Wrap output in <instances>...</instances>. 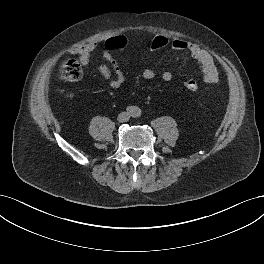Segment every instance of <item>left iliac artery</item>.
I'll use <instances>...</instances> for the list:
<instances>
[{"label": "left iliac artery", "mask_w": 264, "mask_h": 264, "mask_svg": "<svg viewBox=\"0 0 264 264\" xmlns=\"http://www.w3.org/2000/svg\"><path fill=\"white\" fill-rule=\"evenodd\" d=\"M139 115H140V112H139V111H137V112H136V116H139Z\"/></svg>", "instance_id": "1"}]
</instances>
